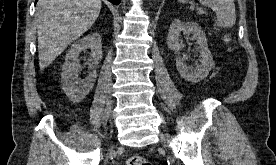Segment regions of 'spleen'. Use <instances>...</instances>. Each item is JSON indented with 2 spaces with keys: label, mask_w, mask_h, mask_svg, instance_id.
I'll list each match as a JSON object with an SVG mask.
<instances>
[{
  "label": "spleen",
  "mask_w": 276,
  "mask_h": 165,
  "mask_svg": "<svg viewBox=\"0 0 276 165\" xmlns=\"http://www.w3.org/2000/svg\"><path fill=\"white\" fill-rule=\"evenodd\" d=\"M180 3H187L188 0H178ZM216 13L215 26L231 28L236 22L234 0H201Z\"/></svg>",
  "instance_id": "obj_1"
}]
</instances>
